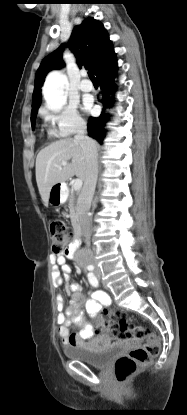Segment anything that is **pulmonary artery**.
<instances>
[{
    "instance_id": "e3ab8cb5",
    "label": "pulmonary artery",
    "mask_w": 187,
    "mask_h": 415,
    "mask_svg": "<svg viewBox=\"0 0 187 415\" xmlns=\"http://www.w3.org/2000/svg\"><path fill=\"white\" fill-rule=\"evenodd\" d=\"M82 76H83L84 79L80 82L79 89L83 92L92 91L93 85L91 84V82H89L87 79H85L86 73H83Z\"/></svg>"
}]
</instances>
